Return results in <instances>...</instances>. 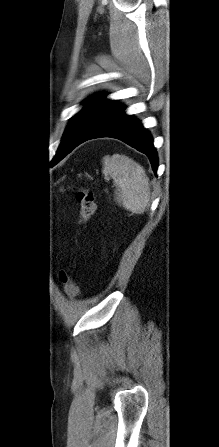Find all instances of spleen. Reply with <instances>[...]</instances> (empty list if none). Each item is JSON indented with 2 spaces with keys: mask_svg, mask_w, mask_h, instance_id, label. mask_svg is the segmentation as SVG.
<instances>
[{
  "mask_svg": "<svg viewBox=\"0 0 219 447\" xmlns=\"http://www.w3.org/2000/svg\"><path fill=\"white\" fill-rule=\"evenodd\" d=\"M103 174L115 185V200L126 210L143 214L150 198L149 178L142 166L126 155L114 154L103 158Z\"/></svg>",
  "mask_w": 219,
  "mask_h": 447,
  "instance_id": "1",
  "label": "spleen"
}]
</instances>
